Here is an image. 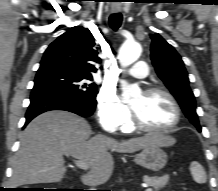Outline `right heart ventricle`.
<instances>
[{
  "label": "right heart ventricle",
  "mask_w": 218,
  "mask_h": 191,
  "mask_svg": "<svg viewBox=\"0 0 218 191\" xmlns=\"http://www.w3.org/2000/svg\"><path fill=\"white\" fill-rule=\"evenodd\" d=\"M122 130H123L124 132H130V131L132 130V126H131L130 122H128V123L122 128Z\"/></svg>",
  "instance_id": "e07e8e85"
}]
</instances>
